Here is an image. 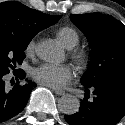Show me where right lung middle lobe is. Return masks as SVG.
<instances>
[{
    "instance_id": "right-lung-middle-lobe-1",
    "label": "right lung middle lobe",
    "mask_w": 125,
    "mask_h": 125,
    "mask_svg": "<svg viewBox=\"0 0 125 125\" xmlns=\"http://www.w3.org/2000/svg\"><path fill=\"white\" fill-rule=\"evenodd\" d=\"M61 16H57L59 20ZM31 38L13 36L0 31V71L9 73L15 70L17 64H21L25 58L24 51Z\"/></svg>"
}]
</instances>
